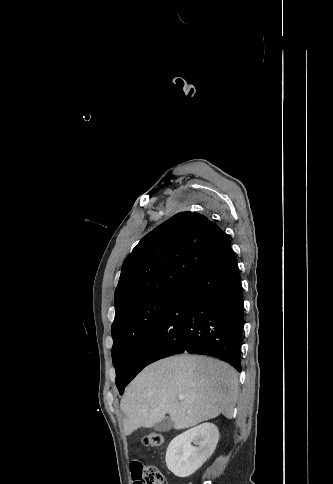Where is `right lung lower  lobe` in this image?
<instances>
[{
    "label": "right lung lower lobe",
    "mask_w": 333,
    "mask_h": 484,
    "mask_svg": "<svg viewBox=\"0 0 333 484\" xmlns=\"http://www.w3.org/2000/svg\"><path fill=\"white\" fill-rule=\"evenodd\" d=\"M242 285L232 249L178 290L141 344L127 384L148 364L173 354L221 358L241 372Z\"/></svg>",
    "instance_id": "98d812e1"
}]
</instances>
